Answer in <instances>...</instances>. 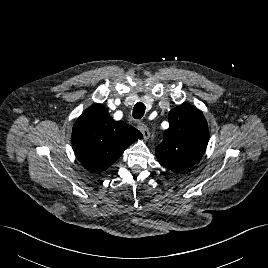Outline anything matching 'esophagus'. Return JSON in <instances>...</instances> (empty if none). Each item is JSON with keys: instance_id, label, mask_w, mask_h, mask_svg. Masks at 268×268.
<instances>
[{"instance_id": "esophagus-1", "label": "esophagus", "mask_w": 268, "mask_h": 268, "mask_svg": "<svg viewBox=\"0 0 268 268\" xmlns=\"http://www.w3.org/2000/svg\"><path fill=\"white\" fill-rule=\"evenodd\" d=\"M138 129L142 132L143 137H144L145 140L149 139L150 131H149V129L147 128V126L144 123L139 122L138 123Z\"/></svg>"}]
</instances>
